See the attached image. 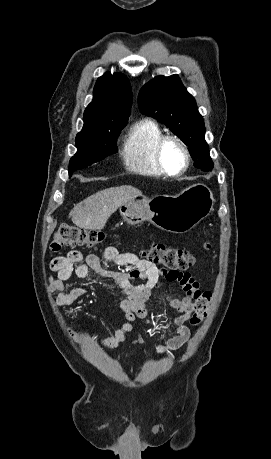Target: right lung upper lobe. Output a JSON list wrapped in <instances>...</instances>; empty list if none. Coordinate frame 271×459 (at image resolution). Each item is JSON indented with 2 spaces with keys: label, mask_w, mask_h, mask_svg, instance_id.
<instances>
[{
  "label": "right lung upper lobe",
  "mask_w": 271,
  "mask_h": 459,
  "mask_svg": "<svg viewBox=\"0 0 271 459\" xmlns=\"http://www.w3.org/2000/svg\"><path fill=\"white\" fill-rule=\"evenodd\" d=\"M93 95V101L84 112V121L128 120L132 104V90L125 75L105 73L97 80Z\"/></svg>",
  "instance_id": "cb5924a9"
}]
</instances>
